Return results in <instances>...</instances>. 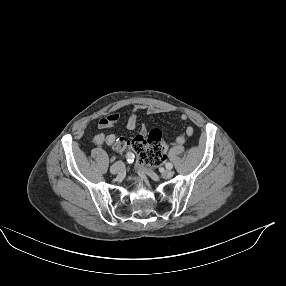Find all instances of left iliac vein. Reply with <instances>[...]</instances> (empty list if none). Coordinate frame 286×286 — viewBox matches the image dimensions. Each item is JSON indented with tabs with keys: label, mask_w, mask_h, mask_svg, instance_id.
I'll use <instances>...</instances> for the list:
<instances>
[{
	"label": "left iliac vein",
	"mask_w": 286,
	"mask_h": 286,
	"mask_svg": "<svg viewBox=\"0 0 286 286\" xmlns=\"http://www.w3.org/2000/svg\"><path fill=\"white\" fill-rule=\"evenodd\" d=\"M173 176V172L170 171V170H164L162 171V177L163 178H166V179H169Z\"/></svg>",
	"instance_id": "4c4485c4"
}]
</instances>
